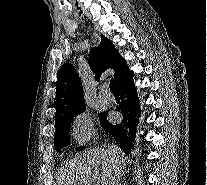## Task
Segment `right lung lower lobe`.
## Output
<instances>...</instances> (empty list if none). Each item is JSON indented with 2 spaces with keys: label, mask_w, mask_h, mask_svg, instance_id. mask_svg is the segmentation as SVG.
<instances>
[{
  "label": "right lung lower lobe",
  "mask_w": 207,
  "mask_h": 185,
  "mask_svg": "<svg viewBox=\"0 0 207 185\" xmlns=\"http://www.w3.org/2000/svg\"><path fill=\"white\" fill-rule=\"evenodd\" d=\"M133 75L122 79L116 83L120 103L116 110L121 112L122 121L115 125L106 121L102 127L111 134L119 142L120 147L126 152L130 153L133 140L135 139V132L137 131V121L140 116L139 101L137 100V92L132 79Z\"/></svg>",
  "instance_id": "obj_1"
}]
</instances>
